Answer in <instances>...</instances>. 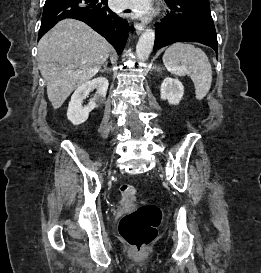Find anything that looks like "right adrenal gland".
<instances>
[{"label":"right adrenal gland","instance_id":"2a0ac1e0","mask_svg":"<svg viewBox=\"0 0 261 273\" xmlns=\"http://www.w3.org/2000/svg\"><path fill=\"white\" fill-rule=\"evenodd\" d=\"M107 64H108V62L106 61V62H105V64L103 65L104 69H103V70H101L102 72H104V71H107V70H108V69H107Z\"/></svg>","mask_w":261,"mask_h":273}]
</instances>
